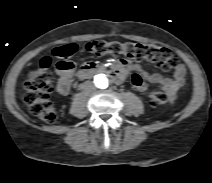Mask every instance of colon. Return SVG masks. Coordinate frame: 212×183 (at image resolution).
<instances>
[{
	"label": "colon",
	"instance_id": "obj_1",
	"mask_svg": "<svg viewBox=\"0 0 212 183\" xmlns=\"http://www.w3.org/2000/svg\"><path fill=\"white\" fill-rule=\"evenodd\" d=\"M82 50L96 56L112 54L127 59L148 60L164 71L175 70L178 66V60L170 50L150 44L97 40L85 44ZM78 51L79 46L74 43L54 48L53 56L61 59L57 67L64 72H73L74 64L69 59ZM51 66V57H44L39 66L27 75L23 84L24 100L30 112L48 123L54 122L57 118L56 110L49 98L53 90ZM149 98L154 106L169 101L168 95L161 91L151 92Z\"/></svg>",
	"mask_w": 212,
	"mask_h": 183
}]
</instances>
